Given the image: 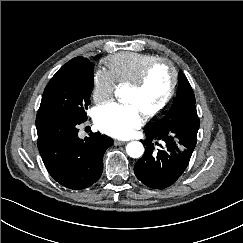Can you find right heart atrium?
<instances>
[{
    "label": "right heart atrium",
    "instance_id": "1",
    "mask_svg": "<svg viewBox=\"0 0 243 243\" xmlns=\"http://www.w3.org/2000/svg\"><path fill=\"white\" fill-rule=\"evenodd\" d=\"M116 81L108 70L98 69L92 78V97L96 102H103L112 97Z\"/></svg>",
    "mask_w": 243,
    "mask_h": 243
}]
</instances>
